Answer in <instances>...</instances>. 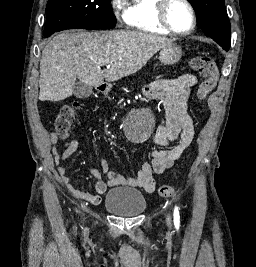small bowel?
<instances>
[{"label": "small bowel", "instance_id": "obj_1", "mask_svg": "<svg viewBox=\"0 0 256 267\" xmlns=\"http://www.w3.org/2000/svg\"><path fill=\"white\" fill-rule=\"evenodd\" d=\"M196 85V76L187 73L176 78L156 80L143 88V94L146 97L157 100L163 105L166 122L157 127L154 136L155 143L162 149L153 150L151 164L143 163L133 178H125L110 170L108 162L102 159L99 165L106 180L100 178L99 171L90 170V173L96 178L93 192L72 185L66 168L61 164L77 150L79 143L74 139L67 142L63 154H59L53 148L59 182L75 197L92 205L100 204L101 195L111 187L130 186L143 188L148 193L154 192L156 188L154 175H160L171 168L194 138L195 131L193 122L187 113V101L191 90ZM179 136L180 142L173 145ZM50 140L54 146L58 141V136L52 134Z\"/></svg>", "mask_w": 256, "mask_h": 267}]
</instances>
